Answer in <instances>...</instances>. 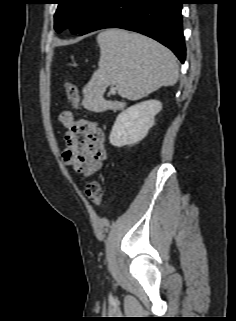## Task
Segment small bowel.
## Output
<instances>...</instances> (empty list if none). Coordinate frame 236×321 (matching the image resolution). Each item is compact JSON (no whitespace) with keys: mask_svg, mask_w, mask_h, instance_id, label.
I'll use <instances>...</instances> for the list:
<instances>
[{"mask_svg":"<svg viewBox=\"0 0 236 321\" xmlns=\"http://www.w3.org/2000/svg\"><path fill=\"white\" fill-rule=\"evenodd\" d=\"M59 122L65 128L63 161L85 175L101 169L107 159L105 135L98 123L76 119L73 112L63 111ZM82 137L79 140V137Z\"/></svg>","mask_w":236,"mask_h":321,"instance_id":"c3829d8e","label":"small bowel"}]
</instances>
